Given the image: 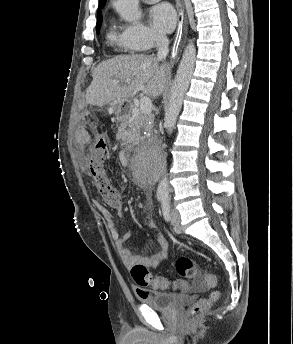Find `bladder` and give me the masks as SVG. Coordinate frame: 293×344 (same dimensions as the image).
I'll list each match as a JSON object with an SVG mask.
<instances>
[{"label":"bladder","instance_id":"obj_1","mask_svg":"<svg viewBox=\"0 0 293 344\" xmlns=\"http://www.w3.org/2000/svg\"><path fill=\"white\" fill-rule=\"evenodd\" d=\"M140 300L145 305L154 309L170 311L190 299L187 296L176 293L146 291V293L140 297Z\"/></svg>","mask_w":293,"mask_h":344}]
</instances>
